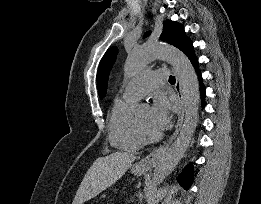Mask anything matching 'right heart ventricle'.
<instances>
[{
	"instance_id": "1",
	"label": "right heart ventricle",
	"mask_w": 261,
	"mask_h": 204,
	"mask_svg": "<svg viewBox=\"0 0 261 204\" xmlns=\"http://www.w3.org/2000/svg\"><path fill=\"white\" fill-rule=\"evenodd\" d=\"M136 100L117 98L108 118L109 141L117 149L136 152L141 149L145 140L139 133L132 113Z\"/></svg>"
}]
</instances>
